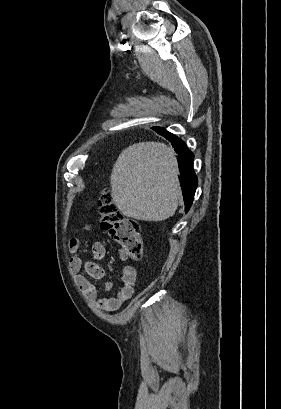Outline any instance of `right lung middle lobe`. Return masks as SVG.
Wrapping results in <instances>:
<instances>
[{"label": "right lung middle lobe", "instance_id": "1", "mask_svg": "<svg viewBox=\"0 0 281 409\" xmlns=\"http://www.w3.org/2000/svg\"><path fill=\"white\" fill-rule=\"evenodd\" d=\"M155 130H163L162 128H154Z\"/></svg>", "mask_w": 281, "mask_h": 409}]
</instances>
